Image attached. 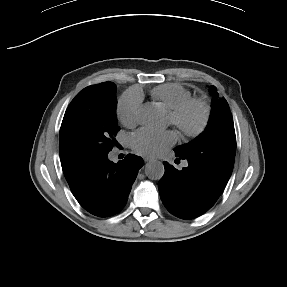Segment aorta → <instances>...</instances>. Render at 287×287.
I'll return each instance as SVG.
<instances>
[{"label":"aorta","instance_id":"1","mask_svg":"<svg viewBox=\"0 0 287 287\" xmlns=\"http://www.w3.org/2000/svg\"><path fill=\"white\" fill-rule=\"evenodd\" d=\"M164 172V165L160 161L149 162L145 166V174L152 180H160L163 177Z\"/></svg>","mask_w":287,"mask_h":287}]
</instances>
